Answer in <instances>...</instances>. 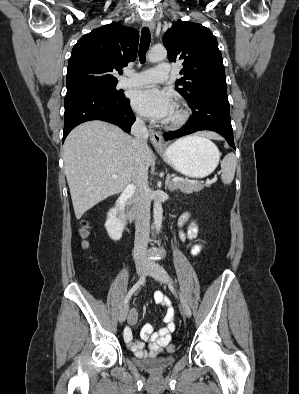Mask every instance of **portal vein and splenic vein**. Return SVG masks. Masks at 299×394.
Here are the masks:
<instances>
[{
    "label": "portal vein and splenic vein",
    "mask_w": 299,
    "mask_h": 394,
    "mask_svg": "<svg viewBox=\"0 0 299 394\" xmlns=\"http://www.w3.org/2000/svg\"><path fill=\"white\" fill-rule=\"evenodd\" d=\"M113 177L116 178L117 175L114 174ZM214 181H216V177H215L214 179H212L211 181H208V182H214ZM172 182H173V183H175V182H186V183L195 184V183H198L199 181H197V180H188V179H182V178H180V177H175V178L172 179ZM200 182H201V181H200Z\"/></svg>",
    "instance_id": "obj_1"
}]
</instances>
